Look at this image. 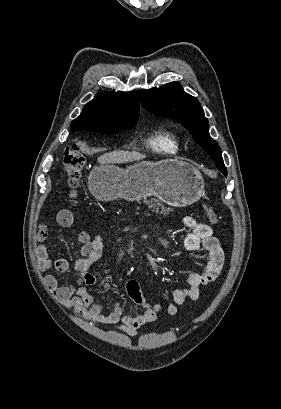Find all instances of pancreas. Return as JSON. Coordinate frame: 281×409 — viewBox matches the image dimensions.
<instances>
[{"mask_svg":"<svg viewBox=\"0 0 281 409\" xmlns=\"http://www.w3.org/2000/svg\"><path fill=\"white\" fill-rule=\"evenodd\" d=\"M153 200L154 202H157L158 207H161L160 213H162V215H167L166 211H171V209H166L165 211L164 205H161V202H159V200H155V198H153Z\"/></svg>","mask_w":281,"mask_h":409,"instance_id":"obj_1","label":"pancreas"}]
</instances>
